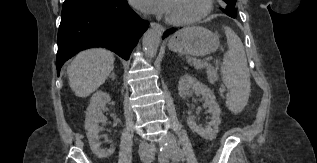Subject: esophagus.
Wrapping results in <instances>:
<instances>
[{"label":"esophagus","mask_w":317,"mask_h":163,"mask_svg":"<svg viewBox=\"0 0 317 163\" xmlns=\"http://www.w3.org/2000/svg\"><path fill=\"white\" fill-rule=\"evenodd\" d=\"M150 26L154 28L155 30H157L159 34H163L165 31V28L159 23L151 22Z\"/></svg>","instance_id":"obj_1"}]
</instances>
